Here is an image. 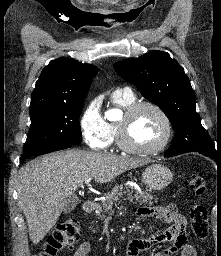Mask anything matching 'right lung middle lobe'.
Masks as SVG:
<instances>
[{
	"label": "right lung middle lobe",
	"instance_id": "right-lung-middle-lobe-1",
	"mask_svg": "<svg viewBox=\"0 0 221 256\" xmlns=\"http://www.w3.org/2000/svg\"><path fill=\"white\" fill-rule=\"evenodd\" d=\"M84 102L30 110L31 127L21 159L59 144L77 145L82 141L79 116Z\"/></svg>",
	"mask_w": 221,
	"mask_h": 256
}]
</instances>
